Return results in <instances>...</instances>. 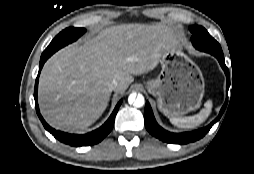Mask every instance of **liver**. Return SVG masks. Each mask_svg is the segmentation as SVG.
Listing matches in <instances>:
<instances>
[{
	"label": "liver",
	"instance_id": "liver-1",
	"mask_svg": "<svg viewBox=\"0 0 254 174\" xmlns=\"http://www.w3.org/2000/svg\"><path fill=\"white\" fill-rule=\"evenodd\" d=\"M166 25L122 24L108 27L83 45H69L51 56L41 71L38 100L55 129L83 132L105 111L113 79L123 93L133 75L153 70L165 49L176 47Z\"/></svg>",
	"mask_w": 254,
	"mask_h": 174
}]
</instances>
